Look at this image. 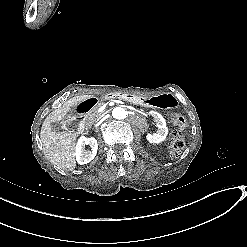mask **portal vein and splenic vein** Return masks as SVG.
Segmentation results:
<instances>
[{
	"label": "portal vein and splenic vein",
	"instance_id": "obj_1",
	"mask_svg": "<svg viewBox=\"0 0 247 247\" xmlns=\"http://www.w3.org/2000/svg\"><path fill=\"white\" fill-rule=\"evenodd\" d=\"M111 101L117 104L125 105V102H122L118 99L109 98L106 100V104H103L102 106H100V108H98V113H101V111H104V109H106L107 105H109Z\"/></svg>",
	"mask_w": 247,
	"mask_h": 247
}]
</instances>
